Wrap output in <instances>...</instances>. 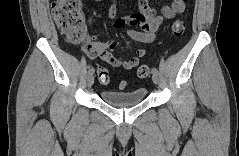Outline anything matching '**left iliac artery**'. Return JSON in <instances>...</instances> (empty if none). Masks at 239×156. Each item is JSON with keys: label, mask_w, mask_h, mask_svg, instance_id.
I'll return each mask as SVG.
<instances>
[{"label": "left iliac artery", "mask_w": 239, "mask_h": 156, "mask_svg": "<svg viewBox=\"0 0 239 156\" xmlns=\"http://www.w3.org/2000/svg\"><path fill=\"white\" fill-rule=\"evenodd\" d=\"M152 73L153 74H158V70L156 68H152Z\"/></svg>", "instance_id": "1"}]
</instances>
